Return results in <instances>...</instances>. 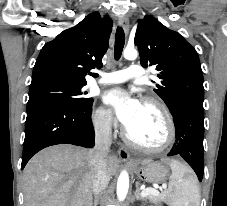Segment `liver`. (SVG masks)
Segmentation results:
<instances>
[{
  "mask_svg": "<svg viewBox=\"0 0 227 206\" xmlns=\"http://www.w3.org/2000/svg\"><path fill=\"white\" fill-rule=\"evenodd\" d=\"M92 158V150L72 145L34 155L23 172L24 206H93ZM117 167L118 160L108 157L109 174Z\"/></svg>",
  "mask_w": 227,
  "mask_h": 206,
  "instance_id": "6515ba94",
  "label": "liver"
}]
</instances>
